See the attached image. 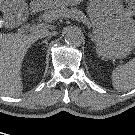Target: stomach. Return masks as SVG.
Returning <instances> with one entry per match:
<instances>
[{
  "instance_id": "0dacf381",
  "label": "stomach",
  "mask_w": 135,
  "mask_h": 135,
  "mask_svg": "<svg viewBox=\"0 0 135 135\" xmlns=\"http://www.w3.org/2000/svg\"><path fill=\"white\" fill-rule=\"evenodd\" d=\"M23 0H12L16 13L26 11ZM54 6L57 0H44ZM87 12L103 58H123L135 47V20L124 10L121 0H89Z\"/></svg>"
}]
</instances>
